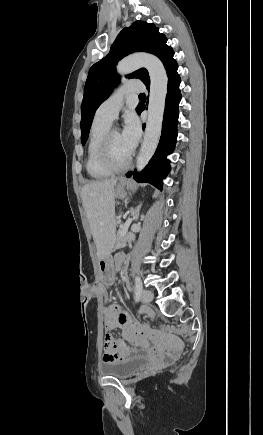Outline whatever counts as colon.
Wrapping results in <instances>:
<instances>
[{"instance_id": "5ec220e1", "label": "colon", "mask_w": 263, "mask_h": 435, "mask_svg": "<svg viewBox=\"0 0 263 435\" xmlns=\"http://www.w3.org/2000/svg\"><path fill=\"white\" fill-rule=\"evenodd\" d=\"M95 289L96 290H98V291H100L101 292V294H103L104 295V292H103V290L99 287V286H96L95 287ZM164 332H173L175 335H182L183 334V331L182 330H177L175 327L173 328V327H170L168 324H161L160 326H159ZM103 340H102V348H103V350H112V348H113V339H114V336H113V334L111 333V332H106L104 335H103ZM124 341H127L126 339H125V336H124ZM145 341V340H144ZM131 343H134L135 341H130ZM157 356H159L158 354H156Z\"/></svg>"}]
</instances>
